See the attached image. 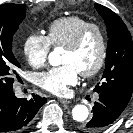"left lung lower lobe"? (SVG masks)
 <instances>
[{"label":"left lung lower lobe","instance_id":"obj_1","mask_svg":"<svg viewBox=\"0 0 133 133\" xmlns=\"http://www.w3.org/2000/svg\"><path fill=\"white\" fill-rule=\"evenodd\" d=\"M98 94L99 99L94 103L92 119L81 127L83 133H100L120 116L128 104V101L110 93Z\"/></svg>","mask_w":133,"mask_h":133}]
</instances>
